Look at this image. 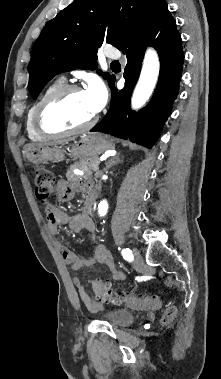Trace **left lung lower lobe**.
<instances>
[{"label": "left lung lower lobe", "mask_w": 221, "mask_h": 379, "mask_svg": "<svg viewBox=\"0 0 221 379\" xmlns=\"http://www.w3.org/2000/svg\"><path fill=\"white\" fill-rule=\"evenodd\" d=\"M150 43L160 57V74L151 101L136 113L130 110V98L139 77L145 49ZM120 50L127 58L125 86L118 91L114 87L115 79L112 81L110 109L90 131L104 132L151 148L171 114L184 61L181 37L165 0L160 2L144 28L128 38Z\"/></svg>", "instance_id": "1"}]
</instances>
